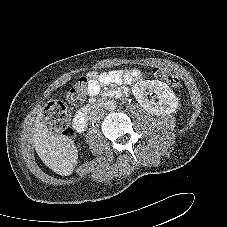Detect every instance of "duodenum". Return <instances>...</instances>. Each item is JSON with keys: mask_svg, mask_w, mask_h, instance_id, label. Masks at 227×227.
Here are the masks:
<instances>
[{"mask_svg": "<svg viewBox=\"0 0 227 227\" xmlns=\"http://www.w3.org/2000/svg\"><path fill=\"white\" fill-rule=\"evenodd\" d=\"M90 111L91 108H85L74 118L73 125L78 132H83L87 128Z\"/></svg>", "mask_w": 227, "mask_h": 227, "instance_id": "obj_1", "label": "duodenum"}]
</instances>
